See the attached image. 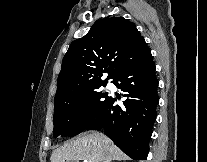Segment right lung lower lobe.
<instances>
[{"mask_svg": "<svg viewBox=\"0 0 207 162\" xmlns=\"http://www.w3.org/2000/svg\"><path fill=\"white\" fill-rule=\"evenodd\" d=\"M127 99L124 106L112 98L86 129L104 128L114 143L133 160H146L156 119L158 80L152 56L135 63L113 81Z\"/></svg>", "mask_w": 207, "mask_h": 162, "instance_id": "right-lung-lower-lobe-1", "label": "right lung lower lobe"}]
</instances>
